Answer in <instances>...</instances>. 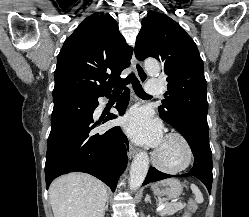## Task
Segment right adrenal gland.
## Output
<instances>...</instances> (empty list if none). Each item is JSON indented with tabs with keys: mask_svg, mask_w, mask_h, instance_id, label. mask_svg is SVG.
Masks as SVG:
<instances>
[{
	"mask_svg": "<svg viewBox=\"0 0 249 217\" xmlns=\"http://www.w3.org/2000/svg\"><path fill=\"white\" fill-rule=\"evenodd\" d=\"M108 204H109V200L107 199L106 206H105V208H104V211H103L102 217H104V216H105V212L108 210Z\"/></svg>",
	"mask_w": 249,
	"mask_h": 217,
	"instance_id": "right-adrenal-gland-1",
	"label": "right adrenal gland"
}]
</instances>
